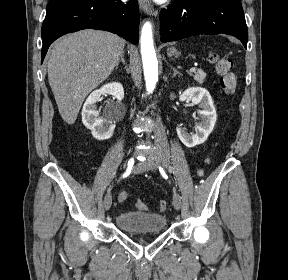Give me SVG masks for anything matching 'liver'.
I'll return each instance as SVG.
<instances>
[{
    "instance_id": "1",
    "label": "liver",
    "mask_w": 288,
    "mask_h": 280,
    "mask_svg": "<svg viewBox=\"0 0 288 280\" xmlns=\"http://www.w3.org/2000/svg\"><path fill=\"white\" fill-rule=\"evenodd\" d=\"M124 46L119 36L92 29L54 43L49 51L48 80L65 122L75 123L84 99L112 73Z\"/></svg>"
}]
</instances>
